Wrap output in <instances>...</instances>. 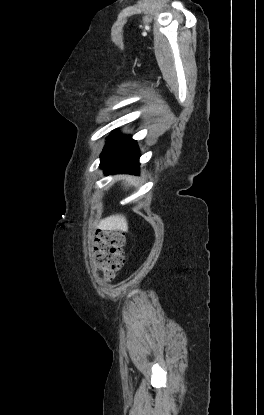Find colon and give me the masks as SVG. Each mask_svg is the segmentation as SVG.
<instances>
[{
  "instance_id": "5ec220e1",
  "label": "colon",
  "mask_w": 264,
  "mask_h": 415,
  "mask_svg": "<svg viewBox=\"0 0 264 415\" xmlns=\"http://www.w3.org/2000/svg\"><path fill=\"white\" fill-rule=\"evenodd\" d=\"M124 243L125 235L121 231L98 230L96 233L93 243L94 261L107 280L113 279L125 262Z\"/></svg>"
}]
</instances>
